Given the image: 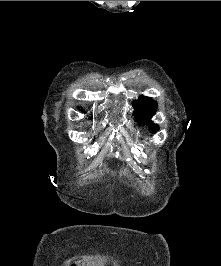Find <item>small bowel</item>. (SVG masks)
Segmentation results:
<instances>
[{"instance_id": "1", "label": "small bowel", "mask_w": 221, "mask_h": 266, "mask_svg": "<svg viewBox=\"0 0 221 266\" xmlns=\"http://www.w3.org/2000/svg\"><path fill=\"white\" fill-rule=\"evenodd\" d=\"M74 262H77V259H74ZM72 266H75V264H72Z\"/></svg>"}]
</instances>
